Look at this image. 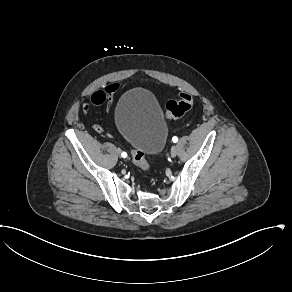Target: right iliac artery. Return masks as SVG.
Here are the masks:
<instances>
[{
	"mask_svg": "<svg viewBox=\"0 0 292 292\" xmlns=\"http://www.w3.org/2000/svg\"><path fill=\"white\" fill-rule=\"evenodd\" d=\"M121 156H122L123 158H126V157H127V153H126V152H122Z\"/></svg>",
	"mask_w": 292,
	"mask_h": 292,
	"instance_id": "1",
	"label": "right iliac artery"
}]
</instances>
